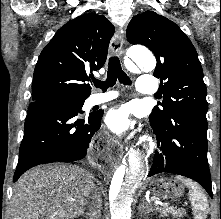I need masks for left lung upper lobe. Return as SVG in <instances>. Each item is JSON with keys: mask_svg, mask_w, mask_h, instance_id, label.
Masks as SVG:
<instances>
[{"mask_svg": "<svg viewBox=\"0 0 221 219\" xmlns=\"http://www.w3.org/2000/svg\"><path fill=\"white\" fill-rule=\"evenodd\" d=\"M127 39L147 46L156 56L154 76L160 78L161 107L150 118L163 122L175 112H187L206 120V86L197 52L175 23L153 11L142 12L130 21Z\"/></svg>", "mask_w": 221, "mask_h": 219, "instance_id": "obj_1", "label": "left lung upper lobe"}]
</instances>
